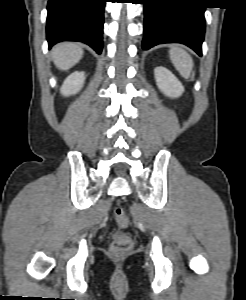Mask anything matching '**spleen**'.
Returning <instances> with one entry per match:
<instances>
[{"label": "spleen", "instance_id": "3e777b00", "mask_svg": "<svg viewBox=\"0 0 246 300\" xmlns=\"http://www.w3.org/2000/svg\"><path fill=\"white\" fill-rule=\"evenodd\" d=\"M169 55L173 65L182 77L185 79H188L191 75L194 77L192 57L184 49L172 47Z\"/></svg>", "mask_w": 246, "mask_h": 300}]
</instances>
